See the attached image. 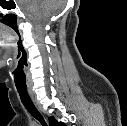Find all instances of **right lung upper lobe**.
Returning <instances> with one entry per match:
<instances>
[{"label": "right lung upper lobe", "mask_w": 127, "mask_h": 126, "mask_svg": "<svg viewBox=\"0 0 127 126\" xmlns=\"http://www.w3.org/2000/svg\"><path fill=\"white\" fill-rule=\"evenodd\" d=\"M49 124H50V126H64V124L61 122L57 123L55 121L54 117L49 118Z\"/></svg>", "instance_id": "cb5924a9"}]
</instances>
